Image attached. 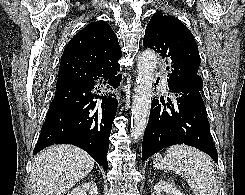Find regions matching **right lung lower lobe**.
Masks as SVG:
<instances>
[{
	"label": "right lung lower lobe",
	"mask_w": 245,
	"mask_h": 195,
	"mask_svg": "<svg viewBox=\"0 0 245 195\" xmlns=\"http://www.w3.org/2000/svg\"><path fill=\"white\" fill-rule=\"evenodd\" d=\"M120 82V74L109 77L99 70L91 81L57 88L33 153L53 144H72L107 170L109 137L118 107L112 90Z\"/></svg>",
	"instance_id": "1"
}]
</instances>
